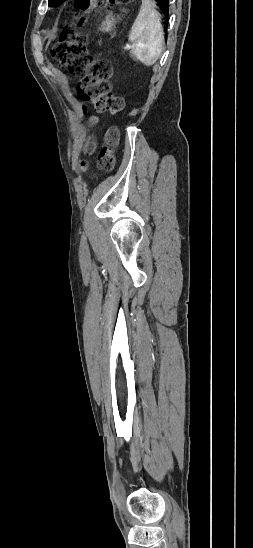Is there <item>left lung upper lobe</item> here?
<instances>
[{
	"mask_svg": "<svg viewBox=\"0 0 253 548\" xmlns=\"http://www.w3.org/2000/svg\"><path fill=\"white\" fill-rule=\"evenodd\" d=\"M59 2H61V0H49V6H50V7H54V6L57 5Z\"/></svg>",
	"mask_w": 253,
	"mask_h": 548,
	"instance_id": "1",
	"label": "left lung upper lobe"
}]
</instances>
